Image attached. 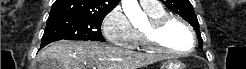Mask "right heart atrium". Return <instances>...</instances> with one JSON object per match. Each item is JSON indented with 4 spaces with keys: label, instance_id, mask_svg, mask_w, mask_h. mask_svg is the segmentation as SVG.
<instances>
[{
    "label": "right heart atrium",
    "instance_id": "d8ad5b80",
    "mask_svg": "<svg viewBox=\"0 0 246 69\" xmlns=\"http://www.w3.org/2000/svg\"><path fill=\"white\" fill-rule=\"evenodd\" d=\"M102 31L113 45L131 47L134 45L136 31L124 11L117 7L110 11L103 20Z\"/></svg>",
    "mask_w": 246,
    "mask_h": 69
}]
</instances>
